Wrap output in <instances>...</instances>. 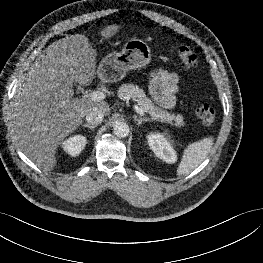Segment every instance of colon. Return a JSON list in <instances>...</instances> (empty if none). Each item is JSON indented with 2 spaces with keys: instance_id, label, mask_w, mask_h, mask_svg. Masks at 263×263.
<instances>
[{
  "instance_id": "obj_1",
  "label": "colon",
  "mask_w": 263,
  "mask_h": 263,
  "mask_svg": "<svg viewBox=\"0 0 263 263\" xmlns=\"http://www.w3.org/2000/svg\"><path fill=\"white\" fill-rule=\"evenodd\" d=\"M178 56L181 64L186 69L194 68L197 65V54L187 45L179 47ZM195 114L197 118L206 126L213 125L216 119V111L214 107L205 102L195 104Z\"/></svg>"
}]
</instances>
